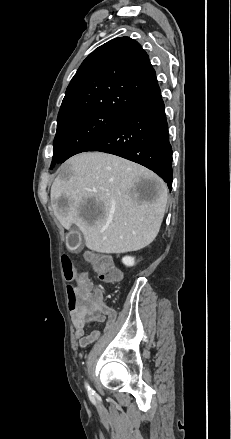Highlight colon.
I'll list each match as a JSON object with an SVG mask.
<instances>
[{
    "mask_svg": "<svg viewBox=\"0 0 231 439\" xmlns=\"http://www.w3.org/2000/svg\"><path fill=\"white\" fill-rule=\"evenodd\" d=\"M86 259L91 263L94 271L98 274L99 278L107 283H113L120 279L119 270L111 263L110 259L102 254H97L94 252H88ZM62 265L64 275L67 281L71 282L75 279L76 274L74 266L68 256H63ZM79 283H86L88 277L86 274H79L77 277ZM89 284H91L89 282ZM92 286V285H91ZM91 300H96L97 291L92 287ZM68 297H69V310L72 313L78 312L81 308L82 295L74 292V286L68 285Z\"/></svg>",
    "mask_w": 231,
    "mask_h": 439,
    "instance_id": "obj_1",
    "label": "colon"
}]
</instances>
